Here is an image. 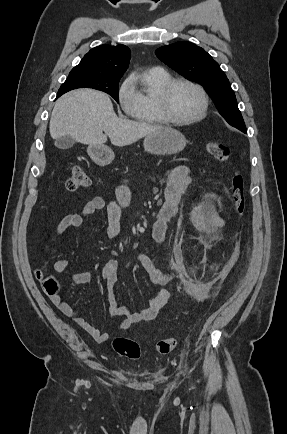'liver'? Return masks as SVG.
<instances>
[{
  "label": "liver",
  "mask_w": 287,
  "mask_h": 434,
  "mask_svg": "<svg viewBox=\"0 0 287 434\" xmlns=\"http://www.w3.org/2000/svg\"><path fill=\"white\" fill-rule=\"evenodd\" d=\"M163 128L118 118L110 97L93 89H78L60 97L49 124L50 135L54 139L67 135L82 144L100 146L109 137L113 145L120 147Z\"/></svg>",
  "instance_id": "liver-1"
}]
</instances>
